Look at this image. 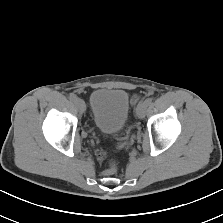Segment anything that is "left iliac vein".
<instances>
[{
	"mask_svg": "<svg viewBox=\"0 0 223 223\" xmlns=\"http://www.w3.org/2000/svg\"><path fill=\"white\" fill-rule=\"evenodd\" d=\"M146 108H147V105L145 104V102H141V103L137 106V108H136V116H137L139 119L144 118Z\"/></svg>",
	"mask_w": 223,
	"mask_h": 223,
	"instance_id": "left-iliac-vein-1",
	"label": "left iliac vein"
}]
</instances>
